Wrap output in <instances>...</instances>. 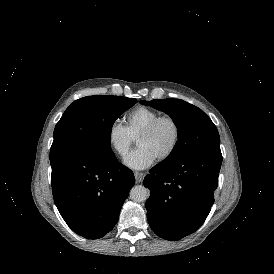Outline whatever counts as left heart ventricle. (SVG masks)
<instances>
[{"instance_id": "1", "label": "left heart ventricle", "mask_w": 274, "mask_h": 274, "mask_svg": "<svg viewBox=\"0 0 274 274\" xmlns=\"http://www.w3.org/2000/svg\"><path fill=\"white\" fill-rule=\"evenodd\" d=\"M173 136L172 125L164 122L151 135L138 138L135 143L137 147L145 148L155 160H158L169 150Z\"/></svg>"}]
</instances>
